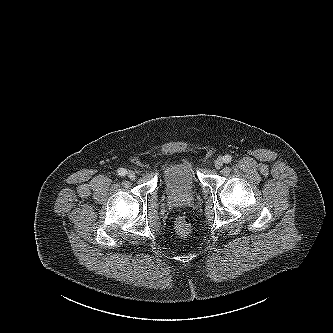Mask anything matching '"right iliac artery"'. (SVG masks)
<instances>
[{
    "label": "right iliac artery",
    "instance_id": "82829eb1",
    "mask_svg": "<svg viewBox=\"0 0 333 333\" xmlns=\"http://www.w3.org/2000/svg\"><path fill=\"white\" fill-rule=\"evenodd\" d=\"M117 173H118V175H120V176H125V175L127 174V170L124 169V168H119V169L117 170Z\"/></svg>",
    "mask_w": 333,
    "mask_h": 333
}]
</instances>
